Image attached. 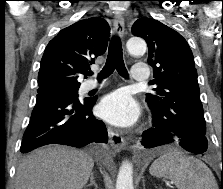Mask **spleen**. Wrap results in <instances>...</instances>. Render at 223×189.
<instances>
[{
    "mask_svg": "<svg viewBox=\"0 0 223 189\" xmlns=\"http://www.w3.org/2000/svg\"><path fill=\"white\" fill-rule=\"evenodd\" d=\"M149 172L174 182L178 189H218L211 170L200 160L169 151L151 165Z\"/></svg>",
    "mask_w": 223,
    "mask_h": 189,
    "instance_id": "3e777b00",
    "label": "spleen"
}]
</instances>
